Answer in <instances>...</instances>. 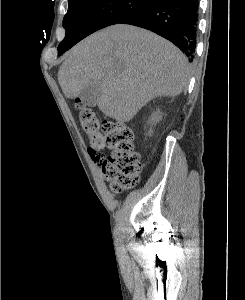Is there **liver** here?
<instances>
[{"instance_id": "1", "label": "liver", "mask_w": 245, "mask_h": 300, "mask_svg": "<svg viewBox=\"0 0 245 300\" xmlns=\"http://www.w3.org/2000/svg\"><path fill=\"white\" fill-rule=\"evenodd\" d=\"M188 61L172 43L148 30L116 24L74 46L58 71L68 99L100 83L97 105L107 116L129 122L156 97L179 95L187 85Z\"/></svg>"}]
</instances>
